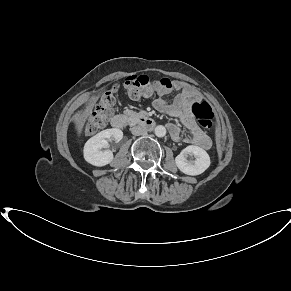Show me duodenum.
<instances>
[{
  "label": "duodenum",
  "instance_id": "obj_1",
  "mask_svg": "<svg viewBox=\"0 0 291 291\" xmlns=\"http://www.w3.org/2000/svg\"><path fill=\"white\" fill-rule=\"evenodd\" d=\"M138 122L141 126L146 128H153L155 126L154 120L148 115L141 116ZM127 123L128 118L123 114L114 115L111 119L112 126L117 129H122L126 127Z\"/></svg>",
  "mask_w": 291,
  "mask_h": 291
}]
</instances>
